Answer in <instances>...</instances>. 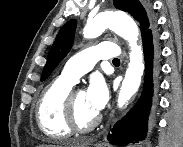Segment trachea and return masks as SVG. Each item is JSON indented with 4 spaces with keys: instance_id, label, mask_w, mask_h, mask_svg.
<instances>
[{
    "instance_id": "3493384b",
    "label": "trachea",
    "mask_w": 183,
    "mask_h": 147,
    "mask_svg": "<svg viewBox=\"0 0 183 147\" xmlns=\"http://www.w3.org/2000/svg\"><path fill=\"white\" fill-rule=\"evenodd\" d=\"M113 62H119L120 63V60L118 58H114Z\"/></svg>"
}]
</instances>
